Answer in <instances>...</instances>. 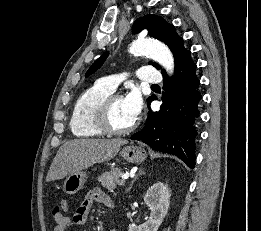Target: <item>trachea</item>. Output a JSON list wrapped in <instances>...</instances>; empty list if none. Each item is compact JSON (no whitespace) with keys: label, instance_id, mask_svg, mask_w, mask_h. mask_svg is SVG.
Returning a JSON list of instances; mask_svg holds the SVG:
<instances>
[{"label":"trachea","instance_id":"trachea-1","mask_svg":"<svg viewBox=\"0 0 261 231\" xmlns=\"http://www.w3.org/2000/svg\"><path fill=\"white\" fill-rule=\"evenodd\" d=\"M152 87H158V85L157 84H153Z\"/></svg>","mask_w":261,"mask_h":231}]
</instances>
